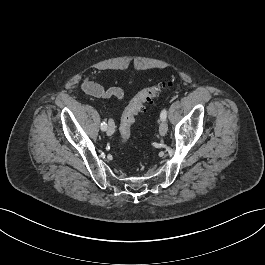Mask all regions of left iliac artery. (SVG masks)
Instances as JSON below:
<instances>
[{
  "label": "left iliac artery",
  "instance_id": "1",
  "mask_svg": "<svg viewBox=\"0 0 265 265\" xmlns=\"http://www.w3.org/2000/svg\"><path fill=\"white\" fill-rule=\"evenodd\" d=\"M166 117H167V110L163 109L161 114H160V118H161V120H165Z\"/></svg>",
  "mask_w": 265,
  "mask_h": 265
}]
</instances>
